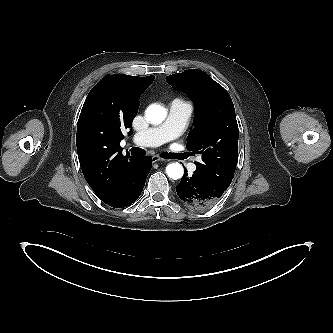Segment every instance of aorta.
Instances as JSON below:
<instances>
[{
	"mask_svg": "<svg viewBox=\"0 0 333 333\" xmlns=\"http://www.w3.org/2000/svg\"><path fill=\"white\" fill-rule=\"evenodd\" d=\"M145 116L151 123L159 124L165 120L167 112L164 107L152 104L146 109ZM166 173L171 179H180L184 173L183 166L180 163H171L166 167Z\"/></svg>",
	"mask_w": 333,
	"mask_h": 333,
	"instance_id": "obj_1",
	"label": "aorta"
}]
</instances>
